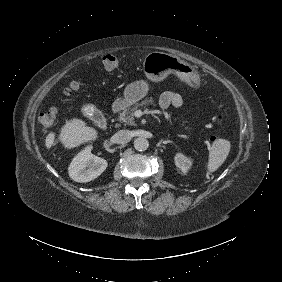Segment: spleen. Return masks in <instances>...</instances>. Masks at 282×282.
<instances>
[{
	"label": "spleen",
	"instance_id": "1",
	"mask_svg": "<svg viewBox=\"0 0 282 282\" xmlns=\"http://www.w3.org/2000/svg\"><path fill=\"white\" fill-rule=\"evenodd\" d=\"M231 140L225 138L216 139L211 147L208 161L205 165L208 174L215 173L227 160L231 151Z\"/></svg>",
	"mask_w": 282,
	"mask_h": 282
}]
</instances>
